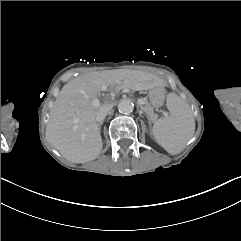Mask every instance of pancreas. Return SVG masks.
<instances>
[{"label":"pancreas","mask_w":241,"mask_h":241,"mask_svg":"<svg viewBox=\"0 0 241 241\" xmlns=\"http://www.w3.org/2000/svg\"><path fill=\"white\" fill-rule=\"evenodd\" d=\"M143 110H145L146 113H148L151 118L155 116L153 114L152 107L148 103L145 104V106L143 107Z\"/></svg>","instance_id":"1"}]
</instances>
